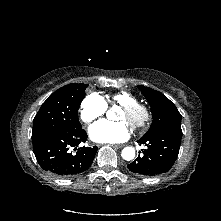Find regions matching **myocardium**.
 <instances>
[{
	"label": "myocardium",
	"instance_id": "myocardium-1",
	"mask_svg": "<svg viewBox=\"0 0 221 221\" xmlns=\"http://www.w3.org/2000/svg\"><path fill=\"white\" fill-rule=\"evenodd\" d=\"M122 110L129 116L127 122L134 130L146 127L151 120V110L145 104L137 102L125 105Z\"/></svg>",
	"mask_w": 221,
	"mask_h": 221
}]
</instances>
